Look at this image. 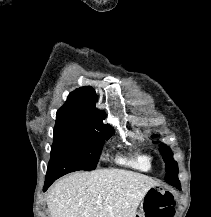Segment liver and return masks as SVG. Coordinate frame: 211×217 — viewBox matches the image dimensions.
<instances>
[{
	"label": "liver",
	"instance_id": "obj_1",
	"mask_svg": "<svg viewBox=\"0 0 211 217\" xmlns=\"http://www.w3.org/2000/svg\"><path fill=\"white\" fill-rule=\"evenodd\" d=\"M157 185L147 175L122 169L78 172L53 186L47 206L50 217H134Z\"/></svg>",
	"mask_w": 211,
	"mask_h": 217
}]
</instances>
